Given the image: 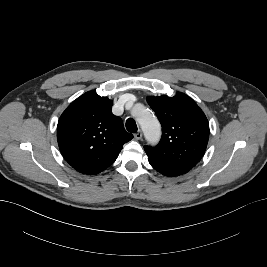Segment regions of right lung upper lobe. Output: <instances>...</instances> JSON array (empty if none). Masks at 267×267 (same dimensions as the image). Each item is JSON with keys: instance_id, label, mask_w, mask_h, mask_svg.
<instances>
[{"instance_id": "obj_1", "label": "right lung upper lobe", "mask_w": 267, "mask_h": 267, "mask_svg": "<svg viewBox=\"0 0 267 267\" xmlns=\"http://www.w3.org/2000/svg\"><path fill=\"white\" fill-rule=\"evenodd\" d=\"M112 100L87 92L62 113L57 125L58 145L64 159L78 172L98 174L118 157L133 138L122 120L112 114Z\"/></svg>"}]
</instances>
